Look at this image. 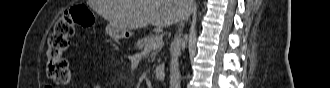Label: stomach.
Here are the masks:
<instances>
[{
  "instance_id": "obj_1",
  "label": "stomach",
  "mask_w": 330,
  "mask_h": 88,
  "mask_svg": "<svg viewBox=\"0 0 330 88\" xmlns=\"http://www.w3.org/2000/svg\"><path fill=\"white\" fill-rule=\"evenodd\" d=\"M114 27V26H113ZM113 35H121V36H124L125 34V30H121V32H112Z\"/></svg>"
}]
</instances>
